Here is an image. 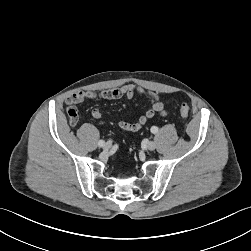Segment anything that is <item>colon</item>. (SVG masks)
<instances>
[{"label": "colon", "instance_id": "obj_1", "mask_svg": "<svg viewBox=\"0 0 251 251\" xmlns=\"http://www.w3.org/2000/svg\"><path fill=\"white\" fill-rule=\"evenodd\" d=\"M189 113H190L189 107L186 104H182L180 107L181 116L187 119L189 117ZM68 115L70 124H75L78 118L77 111L72 108L68 111Z\"/></svg>", "mask_w": 251, "mask_h": 251}]
</instances>
